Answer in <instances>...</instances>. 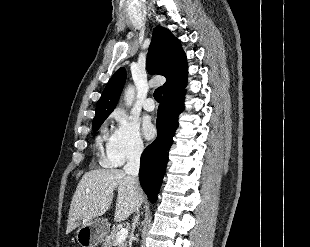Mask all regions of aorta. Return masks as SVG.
<instances>
[{
	"label": "aorta",
	"instance_id": "1",
	"mask_svg": "<svg viewBox=\"0 0 310 247\" xmlns=\"http://www.w3.org/2000/svg\"><path fill=\"white\" fill-rule=\"evenodd\" d=\"M135 99V89L132 85H129L125 90L124 100L127 107L132 106Z\"/></svg>",
	"mask_w": 310,
	"mask_h": 247
}]
</instances>
